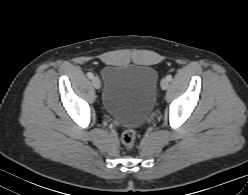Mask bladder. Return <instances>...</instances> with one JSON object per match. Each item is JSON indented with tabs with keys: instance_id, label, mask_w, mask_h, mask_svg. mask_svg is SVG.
I'll return each mask as SVG.
<instances>
[{
	"instance_id": "obj_1",
	"label": "bladder",
	"mask_w": 248,
	"mask_h": 195,
	"mask_svg": "<svg viewBox=\"0 0 248 195\" xmlns=\"http://www.w3.org/2000/svg\"><path fill=\"white\" fill-rule=\"evenodd\" d=\"M102 76L104 110L122 125H141L156 100L157 71L147 65H109Z\"/></svg>"
}]
</instances>
